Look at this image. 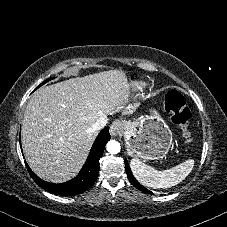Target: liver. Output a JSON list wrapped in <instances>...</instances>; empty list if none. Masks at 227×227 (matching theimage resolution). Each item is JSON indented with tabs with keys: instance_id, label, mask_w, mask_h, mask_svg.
Instances as JSON below:
<instances>
[{
	"instance_id": "1",
	"label": "liver",
	"mask_w": 227,
	"mask_h": 227,
	"mask_svg": "<svg viewBox=\"0 0 227 227\" xmlns=\"http://www.w3.org/2000/svg\"><path fill=\"white\" fill-rule=\"evenodd\" d=\"M130 89L122 71L71 78L34 92L22 120V144L31 169L43 180L62 183L75 177L97 136L101 116L125 109Z\"/></svg>"
}]
</instances>
